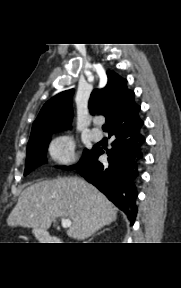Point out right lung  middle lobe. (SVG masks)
<instances>
[{"instance_id": "1", "label": "right lung middle lobe", "mask_w": 181, "mask_h": 288, "mask_svg": "<svg viewBox=\"0 0 181 288\" xmlns=\"http://www.w3.org/2000/svg\"><path fill=\"white\" fill-rule=\"evenodd\" d=\"M52 132L42 133L37 137L29 140L27 145V157H26V164H25V172L24 175L26 176L36 167L40 166L41 164L46 163V151L48 148V143L50 141V134ZM93 151V148L88 150L85 149L83 152V156L79 163L84 161ZM78 163V164H79ZM77 164V165H78ZM75 166L64 167L65 169H73Z\"/></svg>"}]
</instances>
